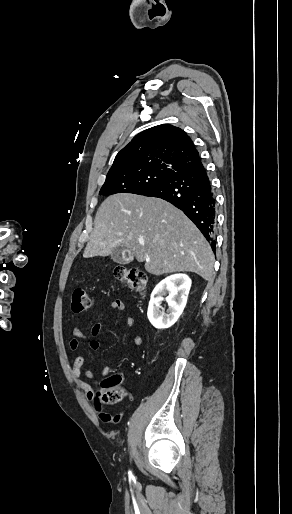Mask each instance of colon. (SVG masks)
<instances>
[{
  "label": "colon",
  "mask_w": 292,
  "mask_h": 514,
  "mask_svg": "<svg viewBox=\"0 0 292 514\" xmlns=\"http://www.w3.org/2000/svg\"><path fill=\"white\" fill-rule=\"evenodd\" d=\"M139 265H132L130 267L117 266L114 268V277L122 284L130 287L131 291L136 294H145L147 289V276L144 272L140 271ZM89 298L83 288H76L72 299V311L74 313H84L89 308ZM120 378L118 375L110 374L101 379L96 388L95 399L100 404V407H107L122 401L126 392L119 386ZM123 414L118 413L110 417L108 411L101 413L103 420L109 418L115 422L122 419Z\"/></svg>",
  "instance_id": "1"
}]
</instances>
